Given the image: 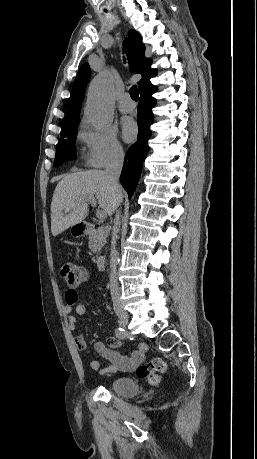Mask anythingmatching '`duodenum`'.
I'll list each match as a JSON object with an SVG mask.
<instances>
[{"instance_id":"1","label":"duodenum","mask_w":257,"mask_h":459,"mask_svg":"<svg viewBox=\"0 0 257 459\" xmlns=\"http://www.w3.org/2000/svg\"><path fill=\"white\" fill-rule=\"evenodd\" d=\"M76 228V235L78 236H89L96 232V226L90 222H85L84 224L77 226ZM105 261V256H99L96 260L97 267L102 269L104 267Z\"/></svg>"}]
</instances>
